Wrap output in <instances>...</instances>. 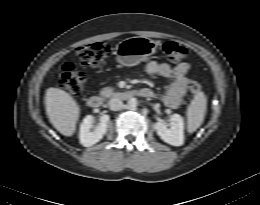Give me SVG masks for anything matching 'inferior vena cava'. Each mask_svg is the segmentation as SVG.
<instances>
[{
	"instance_id": "602c4592",
	"label": "inferior vena cava",
	"mask_w": 260,
	"mask_h": 205,
	"mask_svg": "<svg viewBox=\"0 0 260 205\" xmlns=\"http://www.w3.org/2000/svg\"><path fill=\"white\" fill-rule=\"evenodd\" d=\"M123 107V103L119 98H112L109 101V108L113 111H118Z\"/></svg>"
}]
</instances>
